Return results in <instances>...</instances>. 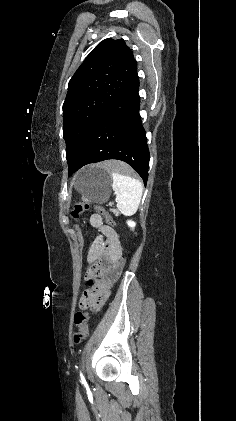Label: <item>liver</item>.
Instances as JSON below:
<instances>
[{
    "label": "liver",
    "instance_id": "obj_1",
    "mask_svg": "<svg viewBox=\"0 0 236 421\" xmlns=\"http://www.w3.org/2000/svg\"><path fill=\"white\" fill-rule=\"evenodd\" d=\"M100 166H103V168H111V160H104V162H100Z\"/></svg>",
    "mask_w": 236,
    "mask_h": 421
}]
</instances>
